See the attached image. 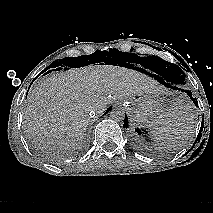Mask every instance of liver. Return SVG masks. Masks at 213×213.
<instances>
[{
    "label": "liver",
    "instance_id": "obj_1",
    "mask_svg": "<svg viewBox=\"0 0 213 213\" xmlns=\"http://www.w3.org/2000/svg\"><path fill=\"white\" fill-rule=\"evenodd\" d=\"M152 77L125 67L90 65L41 79L28 94L24 118L27 136L47 154H69L79 148L90 112L147 93H163Z\"/></svg>",
    "mask_w": 213,
    "mask_h": 213
}]
</instances>
